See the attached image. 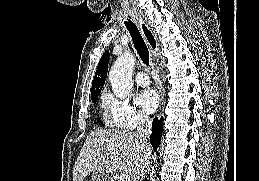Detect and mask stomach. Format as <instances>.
<instances>
[{"label":"stomach","instance_id":"1","mask_svg":"<svg viewBox=\"0 0 259 181\" xmlns=\"http://www.w3.org/2000/svg\"><path fill=\"white\" fill-rule=\"evenodd\" d=\"M91 181H110L109 177L98 173V172H93L92 173V180Z\"/></svg>","mask_w":259,"mask_h":181}]
</instances>
